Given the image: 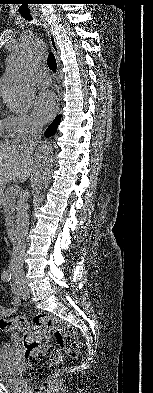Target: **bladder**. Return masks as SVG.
I'll return each mask as SVG.
<instances>
[{"label":"bladder","instance_id":"obj_1","mask_svg":"<svg viewBox=\"0 0 153 393\" xmlns=\"http://www.w3.org/2000/svg\"><path fill=\"white\" fill-rule=\"evenodd\" d=\"M18 364L14 360L13 348L0 349V381L7 383L17 382Z\"/></svg>","mask_w":153,"mask_h":393}]
</instances>
